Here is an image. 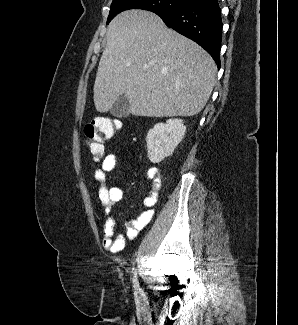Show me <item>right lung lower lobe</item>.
Returning a JSON list of instances; mask_svg holds the SVG:
<instances>
[{
    "label": "right lung lower lobe",
    "instance_id": "obj_1",
    "mask_svg": "<svg viewBox=\"0 0 298 325\" xmlns=\"http://www.w3.org/2000/svg\"><path fill=\"white\" fill-rule=\"evenodd\" d=\"M154 13L168 27L203 47L220 68L222 20L218 0H191L176 10Z\"/></svg>",
    "mask_w": 298,
    "mask_h": 325
}]
</instances>
